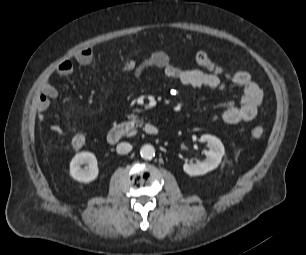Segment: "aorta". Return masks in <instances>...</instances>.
<instances>
[{
	"label": "aorta",
	"instance_id": "762f6f07",
	"mask_svg": "<svg viewBox=\"0 0 306 255\" xmlns=\"http://www.w3.org/2000/svg\"><path fill=\"white\" fill-rule=\"evenodd\" d=\"M140 154L143 159H152L155 156V148L150 144L143 145L140 149Z\"/></svg>",
	"mask_w": 306,
	"mask_h": 255
}]
</instances>
